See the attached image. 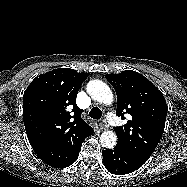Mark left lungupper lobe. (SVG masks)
<instances>
[{
  "label": "left lung upper lobe",
  "mask_w": 187,
  "mask_h": 187,
  "mask_svg": "<svg viewBox=\"0 0 187 187\" xmlns=\"http://www.w3.org/2000/svg\"><path fill=\"white\" fill-rule=\"evenodd\" d=\"M117 95V116L128 123L115 128L117 145L135 155L149 158L158 145L165 127L167 104L161 91L146 77L125 70L105 75Z\"/></svg>",
  "instance_id": "left-lung-upper-lobe-1"
}]
</instances>
